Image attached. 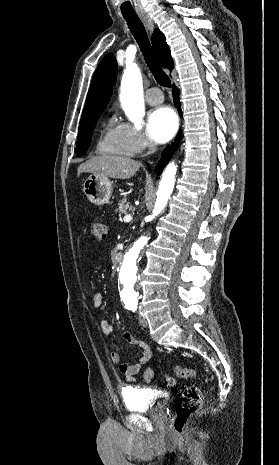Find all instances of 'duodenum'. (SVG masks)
Returning <instances> with one entry per match:
<instances>
[{
    "label": "duodenum",
    "instance_id": "410a0bca",
    "mask_svg": "<svg viewBox=\"0 0 279 465\" xmlns=\"http://www.w3.org/2000/svg\"><path fill=\"white\" fill-rule=\"evenodd\" d=\"M123 259V252L122 251H118L116 254H115V260L116 262H120L122 261Z\"/></svg>",
    "mask_w": 279,
    "mask_h": 465
}]
</instances>
